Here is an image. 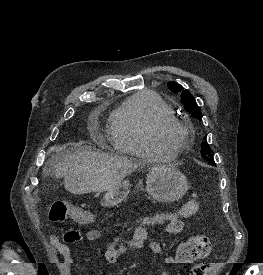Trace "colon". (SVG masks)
I'll return each instance as SVG.
<instances>
[{
	"label": "colon",
	"instance_id": "colon-1",
	"mask_svg": "<svg viewBox=\"0 0 263 275\" xmlns=\"http://www.w3.org/2000/svg\"><path fill=\"white\" fill-rule=\"evenodd\" d=\"M199 208L197 199L188 200L176 213H162L147 220L148 224L158 225L172 219L189 218L193 216ZM49 218L55 222H62L72 219L80 223H88L95 219L93 212L85 210L65 202H56L51 207ZM211 241L208 237L200 235L194 236L181 243L175 254V261L180 265L192 264L204 259L211 252ZM213 263L201 262L196 264L190 275H208Z\"/></svg>",
	"mask_w": 263,
	"mask_h": 275
}]
</instances>
